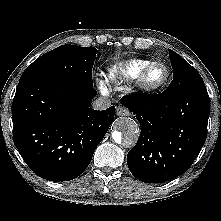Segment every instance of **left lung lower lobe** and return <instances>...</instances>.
Segmentation results:
<instances>
[{"mask_svg":"<svg viewBox=\"0 0 221 221\" xmlns=\"http://www.w3.org/2000/svg\"><path fill=\"white\" fill-rule=\"evenodd\" d=\"M121 103L141 126L127 155L132 174L142 182L162 183L186 172L206 141L210 100L206 89L170 97L132 93Z\"/></svg>","mask_w":221,"mask_h":221,"instance_id":"left-lung-lower-lobe-1","label":"left lung lower lobe"}]
</instances>
